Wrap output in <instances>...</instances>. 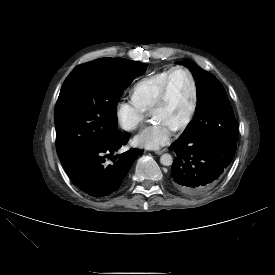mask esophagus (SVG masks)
I'll return each instance as SVG.
<instances>
[{
  "instance_id": "esophagus-1",
  "label": "esophagus",
  "mask_w": 275,
  "mask_h": 275,
  "mask_svg": "<svg viewBox=\"0 0 275 275\" xmlns=\"http://www.w3.org/2000/svg\"><path fill=\"white\" fill-rule=\"evenodd\" d=\"M166 151H167V149L158 150V151H155V154L161 155V154H163Z\"/></svg>"
}]
</instances>
